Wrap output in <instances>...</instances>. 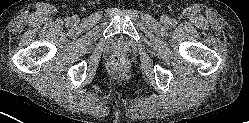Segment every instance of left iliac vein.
<instances>
[{
    "label": "left iliac vein",
    "instance_id": "obj_1",
    "mask_svg": "<svg viewBox=\"0 0 249 123\" xmlns=\"http://www.w3.org/2000/svg\"><path fill=\"white\" fill-rule=\"evenodd\" d=\"M162 19L164 22H167V20H168L167 17H163Z\"/></svg>",
    "mask_w": 249,
    "mask_h": 123
}]
</instances>
